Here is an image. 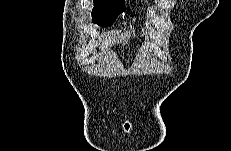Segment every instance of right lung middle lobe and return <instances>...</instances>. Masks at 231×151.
<instances>
[{
	"label": "right lung middle lobe",
	"mask_w": 231,
	"mask_h": 151,
	"mask_svg": "<svg viewBox=\"0 0 231 151\" xmlns=\"http://www.w3.org/2000/svg\"><path fill=\"white\" fill-rule=\"evenodd\" d=\"M125 1L94 0L92 22L100 26L112 25L118 15L125 9Z\"/></svg>",
	"instance_id": "1"
}]
</instances>
